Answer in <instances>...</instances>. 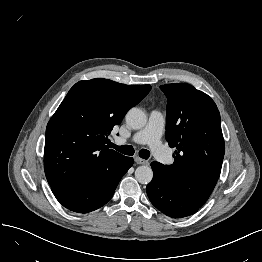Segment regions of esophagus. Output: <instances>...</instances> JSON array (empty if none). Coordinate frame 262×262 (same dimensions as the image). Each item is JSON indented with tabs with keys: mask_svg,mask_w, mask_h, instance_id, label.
I'll return each instance as SVG.
<instances>
[{
	"mask_svg": "<svg viewBox=\"0 0 262 262\" xmlns=\"http://www.w3.org/2000/svg\"><path fill=\"white\" fill-rule=\"evenodd\" d=\"M134 161L137 163V164H140V165H144V164H148V161L147 160H144L140 157H135L134 158Z\"/></svg>",
	"mask_w": 262,
	"mask_h": 262,
	"instance_id": "esophagus-1",
	"label": "esophagus"
}]
</instances>
